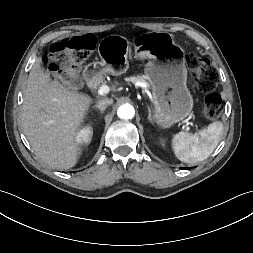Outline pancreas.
Masks as SVG:
<instances>
[{
	"label": "pancreas",
	"instance_id": "obj_1",
	"mask_svg": "<svg viewBox=\"0 0 253 253\" xmlns=\"http://www.w3.org/2000/svg\"><path fill=\"white\" fill-rule=\"evenodd\" d=\"M129 81H131V82H137V81H141V82H143L144 81V78L143 77H131V78H129Z\"/></svg>",
	"mask_w": 253,
	"mask_h": 253
}]
</instances>
